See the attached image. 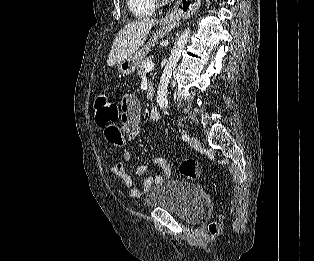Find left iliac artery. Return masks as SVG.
I'll list each match as a JSON object with an SVG mask.
<instances>
[{"mask_svg": "<svg viewBox=\"0 0 314 261\" xmlns=\"http://www.w3.org/2000/svg\"><path fill=\"white\" fill-rule=\"evenodd\" d=\"M182 139L185 140V141H188L189 140V135L183 134L182 135Z\"/></svg>", "mask_w": 314, "mask_h": 261, "instance_id": "1", "label": "left iliac artery"}]
</instances>
